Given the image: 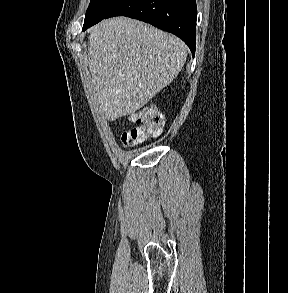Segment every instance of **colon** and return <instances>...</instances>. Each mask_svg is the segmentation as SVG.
I'll use <instances>...</instances> for the list:
<instances>
[{
  "instance_id": "1",
  "label": "colon",
  "mask_w": 288,
  "mask_h": 293,
  "mask_svg": "<svg viewBox=\"0 0 288 293\" xmlns=\"http://www.w3.org/2000/svg\"><path fill=\"white\" fill-rule=\"evenodd\" d=\"M134 126L123 133L121 142L125 147L141 144L151 137L161 133L163 117L153 107H145L129 117Z\"/></svg>"
}]
</instances>
